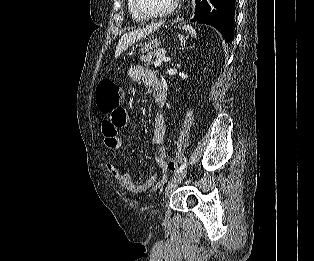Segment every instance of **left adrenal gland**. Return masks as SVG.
<instances>
[{
	"label": "left adrenal gland",
	"instance_id": "1",
	"mask_svg": "<svg viewBox=\"0 0 314 261\" xmlns=\"http://www.w3.org/2000/svg\"><path fill=\"white\" fill-rule=\"evenodd\" d=\"M184 47H185V44H183V47H182V48H180V49H182V50H183V49H184ZM193 47H194V45H193V46H190L189 48H190V49H192Z\"/></svg>",
	"mask_w": 314,
	"mask_h": 261
}]
</instances>
